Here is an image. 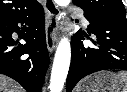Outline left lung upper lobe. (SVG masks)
Listing matches in <instances>:
<instances>
[{"instance_id": "5c2ea615", "label": "left lung upper lobe", "mask_w": 127, "mask_h": 92, "mask_svg": "<svg viewBox=\"0 0 127 92\" xmlns=\"http://www.w3.org/2000/svg\"><path fill=\"white\" fill-rule=\"evenodd\" d=\"M73 3L91 15L126 20L122 0H73Z\"/></svg>"}]
</instances>
